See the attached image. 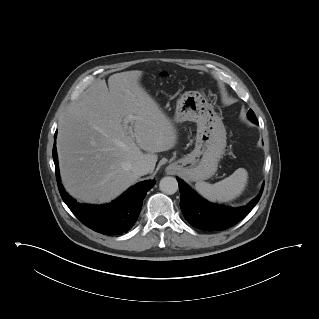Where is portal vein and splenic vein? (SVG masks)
I'll return each instance as SVG.
<instances>
[{
  "label": "portal vein and splenic vein",
  "mask_w": 319,
  "mask_h": 319,
  "mask_svg": "<svg viewBox=\"0 0 319 319\" xmlns=\"http://www.w3.org/2000/svg\"><path fill=\"white\" fill-rule=\"evenodd\" d=\"M132 118H133V116H129V117H128V120H131Z\"/></svg>",
  "instance_id": "obj_1"
}]
</instances>
